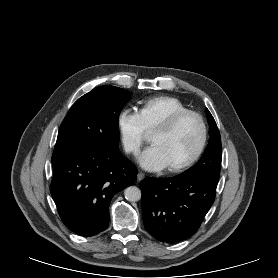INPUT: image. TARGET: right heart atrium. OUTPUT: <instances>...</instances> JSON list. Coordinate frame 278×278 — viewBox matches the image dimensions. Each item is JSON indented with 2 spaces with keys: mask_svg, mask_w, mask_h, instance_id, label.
Segmentation results:
<instances>
[{
  "mask_svg": "<svg viewBox=\"0 0 278 278\" xmlns=\"http://www.w3.org/2000/svg\"><path fill=\"white\" fill-rule=\"evenodd\" d=\"M117 128L124 150L135 154L146 137V129L139 113L132 109H123L117 117Z\"/></svg>",
  "mask_w": 278,
  "mask_h": 278,
  "instance_id": "right-heart-atrium-1",
  "label": "right heart atrium"
}]
</instances>
